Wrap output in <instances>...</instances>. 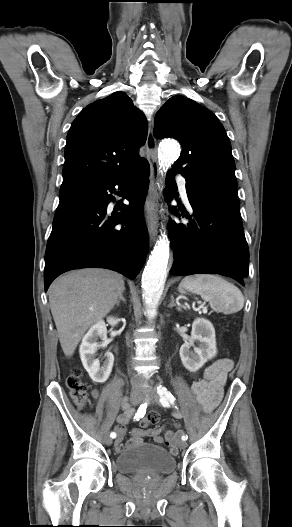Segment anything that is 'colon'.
<instances>
[{"label": "colon", "mask_w": 292, "mask_h": 527, "mask_svg": "<svg viewBox=\"0 0 292 527\" xmlns=\"http://www.w3.org/2000/svg\"><path fill=\"white\" fill-rule=\"evenodd\" d=\"M66 386L74 403L79 407H83L87 402V385L82 380V374L79 369H73L71 371L67 377ZM158 420L159 414L157 412H149L140 421V426L142 428H149L156 424Z\"/></svg>", "instance_id": "obj_1"}]
</instances>
